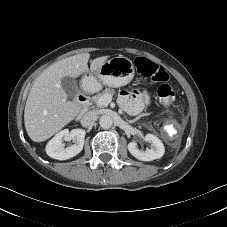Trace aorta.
Segmentation results:
<instances>
[{
  "label": "aorta",
  "instance_id": "762f6f07",
  "mask_svg": "<svg viewBox=\"0 0 227 227\" xmlns=\"http://www.w3.org/2000/svg\"><path fill=\"white\" fill-rule=\"evenodd\" d=\"M112 124H113V120L109 115H102L99 119V125L104 129L110 128Z\"/></svg>",
  "mask_w": 227,
  "mask_h": 227
}]
</instances>
